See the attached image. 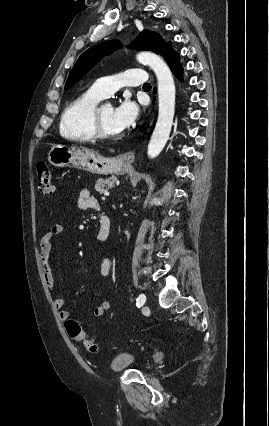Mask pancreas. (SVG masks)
<instances>
[{
  "label": "pancreas",
  "mask_w": 269,
  "mask_h": 426,
  "mask_svg": "<svg viewBox=\"0 0 269 426\" xmlns=\"http://www.w3.org/2000/svg\"><path fill=\"white\" fill-rule=\"evenodd\" d=\"M116 177L112 176L108 179L99 178L95 183V189L100 194L104 193L106 190L111 189L116 181Z\"/></svg>",
  "instance_id": "cf45deb5"
}]
</instances>
